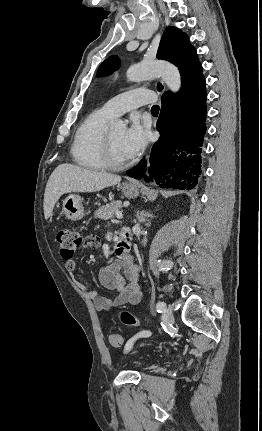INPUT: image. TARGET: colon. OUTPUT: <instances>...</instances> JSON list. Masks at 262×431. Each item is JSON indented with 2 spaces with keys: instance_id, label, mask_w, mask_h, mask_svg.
Listing matches in <instances>:
<instances>
[{
  "instance_id": "5ec220e1",
  "label": "colon",
  "mask_w": 262,
  "mask_h": 431,
  "mask_svg": "<svg viewBox=\"0 0 262 431\" xmlns=\"http://www.w3.org/2000/svg\"><path fill=\"white\" fill-rule=\"evenodd\" d=\"M57 242L61 256L65 260L70 261L78 252L82 251L83 249L87 247H97L99 244V238L95 235L84 236L81 232L76 230L61 229L57 233ZM121 319L125 325L130 327H137L141 325L140 321L129 312H123L121 314ZM108 341L112 347H120L123 344L122 336L117 333H110L108 335Z\"/></svg>"
}]
</instances>
